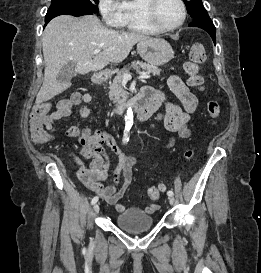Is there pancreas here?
<instances>
[{"label": "pancreas", "instance_id": "obj_1", "mask_svg": "<svg viewBox=\"0 0 261 273\" xmlns=\"http://www.w3.org/2000/svg\"><path fill=\"white\" fill-rule=\"evenodd\" d=\"M139 68L152 75L159 76L161 74V69L157 66L141 61H133L131 65L124 66L120 71H117L113 82L109 86V98L113 103H120L126 98V91L121 86L124 74H129L130 70Z\"/></svg>", "mask_w": 261, "mask_h": 273}]
</instances>
